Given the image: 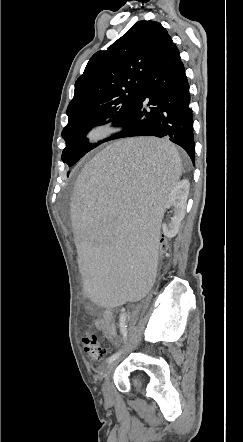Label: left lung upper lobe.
<instances>
[{
	"instance_id": "5c2ea615",
	"label": "left lung upper lobe",
	"mask_w": 243,
	"mask_h": 442,
	"mask_svg": "<svg viewBox=\"0 0 243 442\" xmlns=\"http://www.w3.org/2000/svg\"><path fill=\"white\" fill-rule=\"evenodd\" d=\"M169 34L158 22L139 21L104 51L89 60L75 83L68 124L62 131L66 147L62 161L74 165L103 143L89 144L86 133L94 126H119L134 111L145 77L161 53Z\"/></svg>"
}]
</instances>
